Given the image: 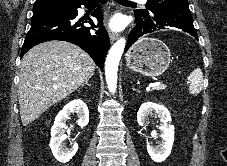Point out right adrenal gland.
<instances>
[{
  "label": "right adrenal gland",
  "instance_id": "2a0ac1e0",
  "mask_svg": "<svg viewBox=\"0 0 227 166\" xmlns=\"http://www.w3.org/2000/svg\"><path fill=\"white\" fill-rule=\"evenodd\" d=\"M88 82H89V79L85 81V85L90 86V85L88 84ZM82 86H83V85H82Z\"/></svg>",
  "mask_w": 227,
  "mask_h": 166
}]
</instances>
